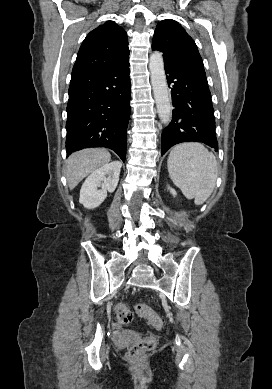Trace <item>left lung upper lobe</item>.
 <instances>
[{
	"mask_svg": "<svg viewBox=\"0 0 272 389\" xmlns=\"http://www.w3.org/2000/svg\"><path fill=\"white\" fill-rule=\"evenodd\" d=\"M152 49L163 53L164 64L176 67H201L203 61L193 39L172 19L158 23Z\"/></svg>",
	"mask_w": 272,
	"mask_h": 389,
	"instance_id": "5c2ea615",
	"label": "left lung upper lobe"
}]
</instances>
